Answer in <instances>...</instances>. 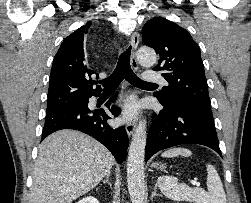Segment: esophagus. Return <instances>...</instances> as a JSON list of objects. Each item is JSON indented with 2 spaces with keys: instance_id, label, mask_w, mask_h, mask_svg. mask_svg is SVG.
I'll use <instances>...</instances> for the list:
<instances>
[{
  "instance_id": "obj_1",
  "label": "esophagus",
  "mask_w": 251,
  "mask_h": 203,
  "mask_svg": "<svg viewBox=\"0 0 251 203\" xmlns=\"http://www.w3.org/2000/svg\"><path fill=\"white\" fill-rule=\"evenodd\" d=\"M130 44H131V46L133 48V52H132V55H131V64H132V67L135 70H138L139 65H138V62H137V59H136V49H137L138 44H139V34L137 32L133 33V35L131 36ZM125 128H126L128 136H131L134 133V130H135V122L134 121H128L126 123Z\"/></svg>"
}]
</instances>
